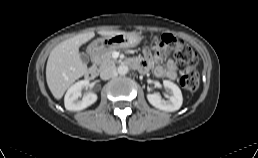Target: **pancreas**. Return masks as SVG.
<instances>
[{
	"label": "pancreas",
	"instance_id": "pancreas-1",
	"mask_svg": "<svg viewBox=\"0 0 258 158\" xmlns=\"http://www.w3.org/2000/svg\"><path fill=\"white\" fill-rule=\"evenodd\" d=\"M115 49H111L108 51H105L98 59H97V65H99L100 68H104L106 66H112L117 63L116 59H113L112 52Z\"/></svg>",
	"mask_w": 258,
	"mask_h": 158
}]
</instances>
